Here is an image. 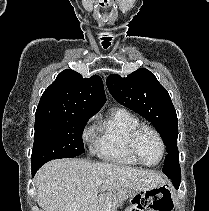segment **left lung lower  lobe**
<instances>
[{"instance_id":"0a47b994","label":"left lung lower lobe","mask_w":209,"mask_h":211,"mask_svg":"<svg viewBox=\"0 0 209 211\" xmlns=\"http://www.w3.org/2000/svg\"><path fill=\"white\" fill-rule=\"evenodd\" d=\"M173 182L174 186L178 189L181 181V173L180 174H168L167 175Z\"/></svg>"}]
</instances>
